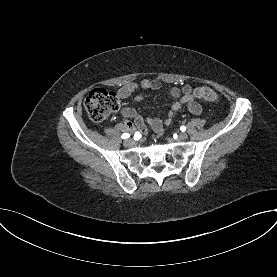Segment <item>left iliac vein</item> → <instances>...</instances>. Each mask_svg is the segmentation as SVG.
<instances>
[{
    "label": "left iliac vein",
    "instance_id": "obj_1",
    "mask_svg": "<svg viewBox=\"0 0 277 277\" xmlns=\"http://www.w3.org/2000/svg\"><path fill=\"white\" fill-rule=\"evenodd\" d=\"M187 134L184 133V132H181L179 135H178V139L181 140V141H184L187 139Z\"/></svg>",
    "mask_w": 277,
    "mask_h": 277
}]
</instances>
